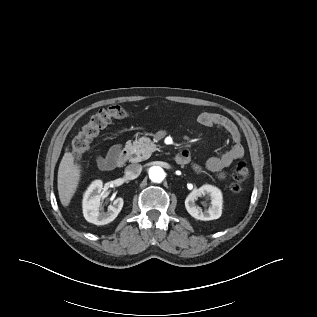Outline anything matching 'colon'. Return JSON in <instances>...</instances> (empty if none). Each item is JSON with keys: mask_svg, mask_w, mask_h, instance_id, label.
I'll use <instances>...</instances> for the list:
<instances>
[{"mask_svg": "<svg viewBox=\"0 0 317 317\" xmlns=\"http://www.w3.org/2000/svg\"><path fill=\"white\" fill-rule=\"evenodd\" d=\"M129 112L118 105L109 106L95 112L89 121L82 126L71 142L72 154L75 158L89 148L91 141L104 129L113 119L125 118ZM249 177V168L246 162H238L232 169L231 190L239 193L242 183Z\"/></svg>", "mask_w": 317, "mask_h": 317, "instance_id": "1", "label": "colon"}]
</instances>
